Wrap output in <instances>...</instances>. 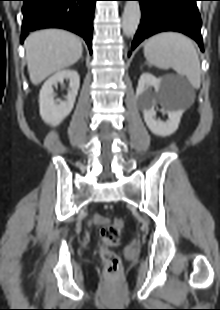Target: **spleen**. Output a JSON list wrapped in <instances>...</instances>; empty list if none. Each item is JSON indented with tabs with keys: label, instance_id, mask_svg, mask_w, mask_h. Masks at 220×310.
<instances>
[{
	"label": "spleen",
	"instance_id": "1",
	"mask_svg": "<svg viewBox=\"0 0 220 310\" xmlns=\"http://www.w3.org/2000/svg\"><path fill=\"white\" fill-rule=\"evenodd\" d=\"M144 56L150 65L160 69H174L186 76L193 88L201 84L200 61L193 42L180 33L163 32L149 38Z\"/></svg>",
	"mask_w": 220,
	"mask_h": 310
}]
</instances>
